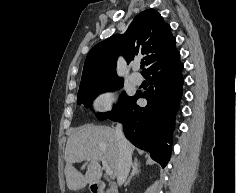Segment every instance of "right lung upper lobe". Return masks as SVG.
I'll use <instances>...</instances> for the list:
<instances>
[{
  "label": "right lung upper lobe",
  "instance_id": "right-lung-upper-lobe-1",
  "mask_svg": "<svg viewBox=\"0 0 237 193\" xmlns=\"http://www.w3.org/2000/svg\"><path fill=\"white\" fill-rule=\"evenodd\" d=\"M176 39L170 26L154 9L138 14L122 34H116L95 45L86 57L79 90L100 83L123 80L116 75V61L120 52L129 63L135 55H145L147 69L177 52Z\"/></svg>",
  "mask_w": 237,
  "mask_h": 193
}]
</instances>
